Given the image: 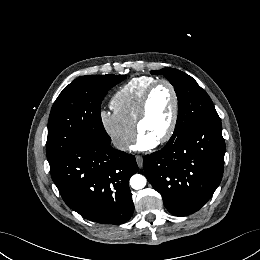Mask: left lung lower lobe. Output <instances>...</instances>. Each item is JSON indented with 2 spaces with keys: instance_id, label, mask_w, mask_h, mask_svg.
Masks as SVG:
<instances>
[{
  "instance_id": "left-lung-lower-lobe-1",
  "label": "left lung lower lobe",
  "mask_w": 260,
  "mask_h": 260,
  "mask_svg": "<svg viewBox=\"0 0 260 260\" xmlns=\"http://www.w3.org/2000/svg\"><path fill=\"white\" fill-rule=\"evenodd\" d=\"M221 131L220 120L202 122L145 156L146 177L171 214L196 212L219 186L225 153Z\"/></svg>"
}]
</instances>
